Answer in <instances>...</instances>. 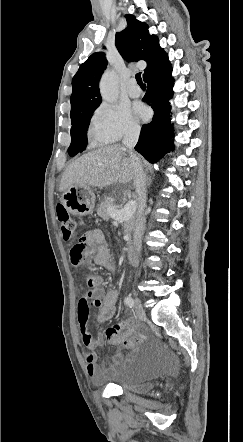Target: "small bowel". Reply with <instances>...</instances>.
<instances>
[{
    "instance_id": "small-bowel-1",
    "label": "small bowel",
    "mask_w": 243,
    "mask_h": 442,
    "mask_svg": "<svg viewBox=\"0 0 243 442\" xmlns=\"http://www.w3.org/2000/svg\"><path fill=\"white\" fill-rule=\"evenodd\" d=\"M82 239L85 244L84 259L79 262H74L70 259L73 265L78 266L84 262H93L110 271L116 269L115 260L100 229L87 231ZM101 283V279H97L95 276H88L86 284L89 288L77 304V321L81 339L87 348V351L84 353L86 371L88 376L96 383L110 379L123 360L121 353H117L112 357L111 363L108 366L100 364L98 355L95 352L96 348L101 347L104 342H107L122 350H132L135 343L141 341L136 336V324L131 318L110 326L104 333L93 335L89 331L87 323L93 308L98 309L97 320L100 322L110 320L116 313L119 291L110 290L106 292L102 288Z\"/></svg>"
}]
</instances>
